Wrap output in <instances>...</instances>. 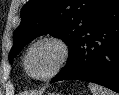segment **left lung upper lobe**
Wrapping results in <instances>:
<instances>
[{
  "mask_svg": "<svg viewBox=\"0 0 119 95\" xmlns=\"http://www.w3.org/2000/svg\"><path fill=\"white\" fill-rule=\"evenodd\" d=\"M113 0H29L21 10V24L13 35L14 57L38 36L50 34L69 46L68 68L84 34L98 14ZM62 69V70H63Z\"/></svg>",
  "mask_w": 119,
  "mask_h": 95,
  "instance_id": "1",
  "label": "left lung upper lobe"
}]
</instances>
